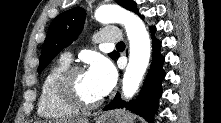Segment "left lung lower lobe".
I'll list each match as a JSON object with an SVG mask.
<instances>
[{"mask_svg":"<svg viewBox=\"0 0 221 123\" xmlns=\"http://www.w3.org/2000/svg\"><path fill=\"white\" fill-rule=\"evenodd\" d=\"M139 16L143 18V16ZM150 31L152 35H154L156 28L152 26L150 27ZM152 44V63L147 74V78L137 99L127 103L122 101L120 93H117L115 98L103 110L125 107L128 110L143 116L146 120H148V122L153 123L154 115L158 108V101L162 95L161 83L165 77V72L162 67L164 57L160 53L161 41L153 37ZM118 57L119 54L116 56V58Z\"/></svg>","mask_w":221,"mask_h":123,"instance_id":"left-lung-lower-lobe-1","label":"left lung lower lobe"}]
</instances>
